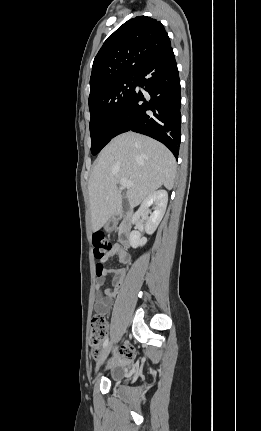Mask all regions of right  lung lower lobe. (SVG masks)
Returning <instances> with one entry per match:
<instances>
[{
  "mask_svg": "<svg viewBox=\"0 0 261 431\" xmlns=\"http://www.w3.org/2000/svg\"><path fill=\"white\" fill-rule=\"evenodd\" d=\"M136 86L119 117L113 137L134 131L162 142L178 158L181 138L180 79L173 49L146 64L136 76Z\"/></svg>",
  "mask_w": 261,
  "mask_h": 431,
  "instance_id": "1",
  "label": "right lung lower lobe"
}]
</instances>
